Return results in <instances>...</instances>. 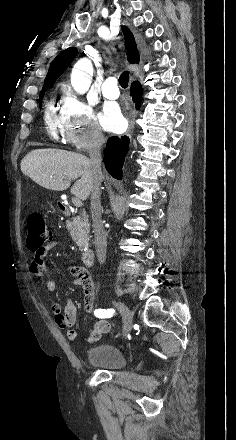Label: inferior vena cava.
<instances>
[{"instance_id":"602c4592","label":"inferior vena cava","mask_w":236,"mask_h":440,"mask_svg":"<svg viewBox=\"0 0 236 440\" xmlns=\"http://www.w3.org/2000/svg\"><path fill=\"white\" fill-rule=\"evenodd\" d=\"M103 143L104 138L102 134L97 131L94 132L91 139V146L89 148L90 164L93 173V186L91 190V217L94 228L93 232L96 254L100 264L105 262L107 252V239L102 223L100 201V186L103 179L101 171V147Z\"/></svg>"}]
</instances>
